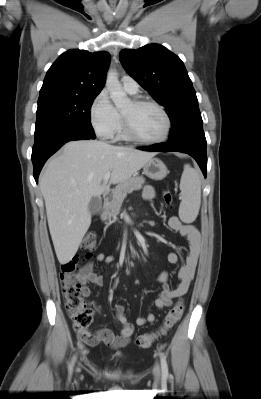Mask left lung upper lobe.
Segmentation results:
<instances>
[{
	"mask_svg": "<svg viewBox=\"0 0 261 399\" xmlns=\"http://www.w3.org/2000/svg\"><path fill=\"white\" fill-rule=\"evenodd\" d=\"M119 58L127 73L166 108L171 121L168 141L204 134L196 92L178 56L162 45L149 44L123 49Z\"/></svg>",
	"mask_w": 261,
	"mask_h": 399,
	"instance_id": "obj_1",
	"label": "left lung upper lobe"
}]
</instances>
